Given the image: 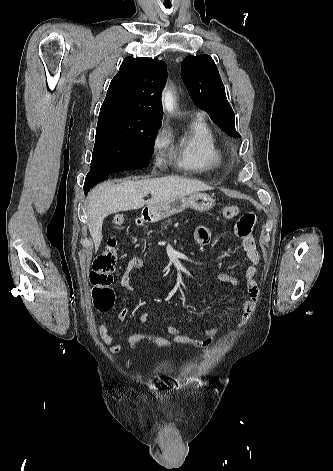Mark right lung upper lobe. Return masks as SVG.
<instances>
[{"instance_id":"cb5924a9","label":"right lung upper lobe","mask_w":333,"mask_h":471,"mask_svg":"<svg viewBox=\"0 0 333 471\" xmlns=\"http://www.w3.org/2000/svg\"><path fill=\"white\" fill-rule=\"evenodd\" d=\"M167 80L163 61L126 57L112 79L99 118L161 122V92Z\"/></svg>"}]
</instances>
